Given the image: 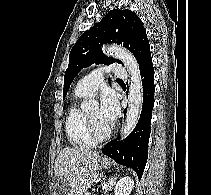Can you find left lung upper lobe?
Segmentation results:
<instances>
[{"label":"left lung upper lobe","mask_w":211,"mask_h":195,"mask_svg":"<svg viewBox=\"0 0 211 195\" xmlns=\"http://www.w3.org/2000/svg\"><path fill=\"white\" fill-rule=\"evenodd\" d=\"M107 43L126 47L135 56L139 67L151 58L149 41L140 18L131 10L114 9L90 30L84 32L71 49L64 76L63 98L82 68L92 63H121L102 53L101 46Z\"/></svg>","instance_id":"left-lung-upper-lobe-1"}]
</instances>
